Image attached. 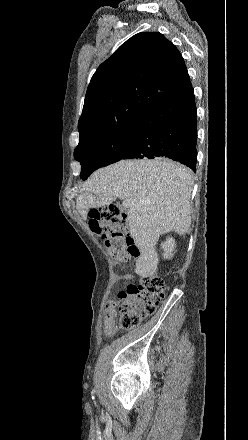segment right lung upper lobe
Instances as JSON below:
<instances>
[{"label":"right lung upper lobe","mask_w":248,"mask_h":440,"mask_svg":"<svg viewBox=\"0 0 248 440\" xmlns=\"http://www.w3.org/2000/svg\"><path fill=\"white\" fill-rule=\"evenodd\" d=\"M192 89L184 59L172 42L159 32L134 35L94 73L78 123L76 149Z\"/></svg>","instance_id":"cb5924a9"}]
</instances>
